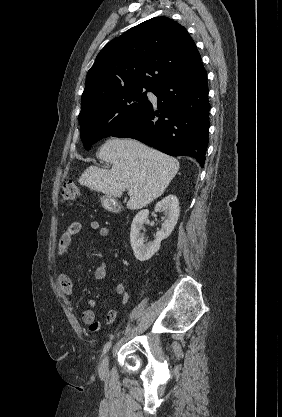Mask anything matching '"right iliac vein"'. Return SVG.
Listing matches in <instances>:
<instances>
[{
    "label": "right iliac vein",
    "instance_id": "right-iliac-vein-1",
    "mask_svg": "<svg viewBox=\"0 0 282 417\" xmlns=\"http://www.w3.org/2000/svg\"><path fill=\"white\" fill-rule=\"evenodd\" d=\"M108 364H109V356L106 355L104 357V359L102 360V362L100 364V367H99V372L101 374H105L107 372V370H108Z\"/></svg>",
    "mask_w": 282,
    "mask_h": 417
}]
</instances>
